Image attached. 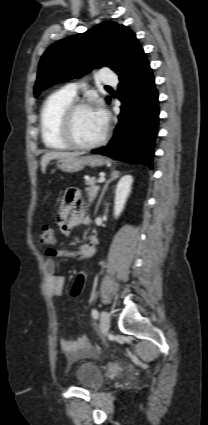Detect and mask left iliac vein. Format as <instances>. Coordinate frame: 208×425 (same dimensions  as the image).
<instances>
[{"instance_id":"left-iliac-vein-1","label":"left iliac vein","mask_w":208,"mask_h":425,"mask_svg":"<svg viewBox=\"0 0 208 425\" xmlns=\"http://www.w3.org/2000/svg\"><path fill=\"white\" fill-rule=\"evenodd\" d=\"M101 323V332L103 335H106L110 328V316L106 311H102L100 317Z\"/></svg>"}]
</instances>
